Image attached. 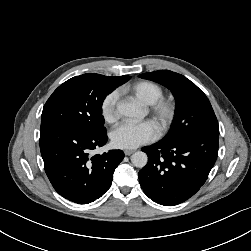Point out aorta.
<instances>
[{
    "label": "aorta",
    "mask_w": 251,
    "mask_h": 251,
    "mask_svg": "<svg viewBox=\"0 0 251 251\" xmlns=\"http://www.w3.org/2000/svg\"><path fill=\"white\" fill-rule=\"evenodd\" d=\"M117 112L121 116L133 118V117H139L141 110L137 105L133 103L120 102L117 105ZM131 162L135 167L143 168L146 166L148 162L147 154L142 151H137L131 156Z\"/></svg>",
    "instance_id": "aorta-1"
}]
</instances>
